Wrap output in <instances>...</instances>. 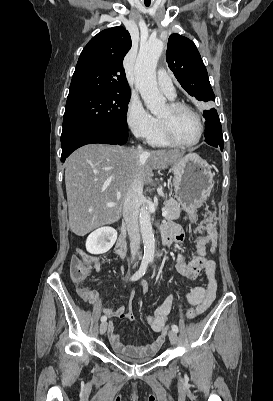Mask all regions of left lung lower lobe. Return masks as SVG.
<instances>
[{"instance_id": "left-lung-lower-lobe-1", "label": "left lung lower lobe", "mask_w": 273, "mask_h": 401, "mask_svg": "<svg viewBox=\"0 0 273 401\" xmlns=\"http://www.w3.org/2000/svg\"><path fill=\"white\" fill-rule=\"evenodd\" d=\"M203 117L206 120V132L204 134L205 142L211 146L219 147L221 150H223L224 143L222 127L216 110H205L203 112Z\"/></svg>"}]
</instances>
